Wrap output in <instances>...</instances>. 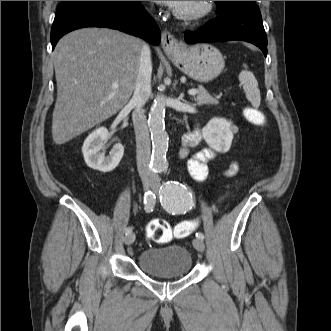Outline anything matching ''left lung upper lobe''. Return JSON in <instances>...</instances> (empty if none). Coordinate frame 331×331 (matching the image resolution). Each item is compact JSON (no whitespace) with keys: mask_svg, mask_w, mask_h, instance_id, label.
<instances>
[{"mask_svg":"<svg viewBox=\"0 0 331 331\" xmlns=\"http://www.w3.org/2000/svg\"><path fill=\"white\" fill-rule=\"evenodd\" d=\"M216 4L218 8V14L234 8H246L256 6L255 1H216Z\"/></svg>","mask_w":331,"mask_h":331,"instance_id":"left-lung-upper-lobe-1","label":"left lung upper lobe"}]
</instances>
